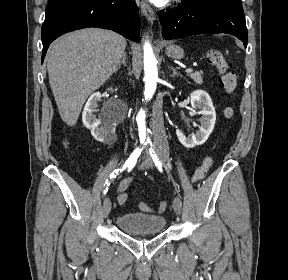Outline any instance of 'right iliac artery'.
<instances>
[{"label": "right iliac artery", "instance_id": "1", "mask_svg": "<svg viewBox=\"0 0 288 280\" xmlns=\"http://www.w3.org/2000/svg\"><path fill=\"white\" fill-rule=\"evenodd\" d=\"M142 149H136L134 150V152L130 155V157L126 160L124 166L120 169H115L111 175H110V179L107 180L104 184V188H103V196H105L108 192L110 183L112 182V179H114L120 172H122L125 168H129V164H136L137 159L139 157V155L141 154Z\"/></svg>", "mask_w": 288, "mask_h": 280}]
</instances>
